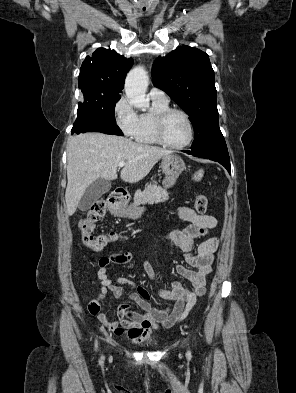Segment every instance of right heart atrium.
Masks as SVG:
<instances>
[{"mask_svg":"<svg viewBox=\"0 0 296 393\" xmlns=\"http://www.w3.org/2000/svg\"><path fill=\"white\" fill-rule=\"evenodd\" d=\"M114 116L116 123L122 132L130 138H135L138 129L139 116L127 97L122 96L116 102L114 106Z\"/></svg>","mask_w":296,"mask_h":393,"instance_id":"obj_1","label":"right heart atrium"}]
</instances>
